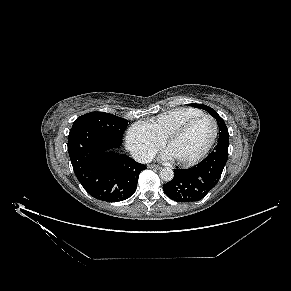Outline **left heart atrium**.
Wrapping results in <instances>:
<instances>
[{
  "label": "left heart atrium",
  "mask_w": 291,
  "mask_h": 291,
  "mask_svg": "<svg viewBox=\"0 0 291 291\" xmlns=\"http://www.w3.org/2000/svg\"><path fill=\"white\" fill-rule=\"evenodd\" d=\"M163 157L172 158V156H171L169 153H165V154L163 155Z\"/></svg>",
  "instance_id": "1"
}]
</instances>
